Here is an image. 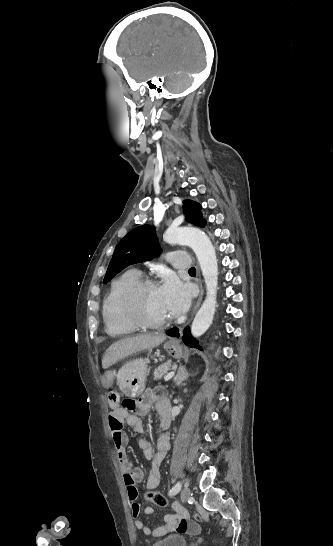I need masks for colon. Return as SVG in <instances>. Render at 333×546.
Listing matches in <instances>:
<instances>
[{
    "instance_id": "colon-1",
    "label": "colon",
    "mask_w": 333,
    "mask_h": 546,
    "mask_svg": "<svg viewBox=\"0 0 333 546\" xmlns=\"http://www.w3.org/2000/svg\"><path fill=\"white\" fill-rule=\"evenodd\" d=\"M109 401H110V403L112 405H116L119 402L118 394L115 393V392L110 393ZM124 406L128 407V408H133L134 401L133 400H126L124 402ZM147 499L149 501H151L153 504H155L156 506H159V507H166L168 505L167 498L162 493H159V492H149L147 494ZM195 519L197 521H200L201 517L199 515H196Z\"/></svg>"
}]
</instances>
